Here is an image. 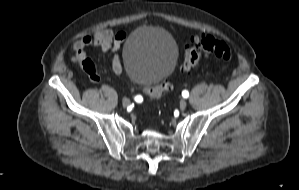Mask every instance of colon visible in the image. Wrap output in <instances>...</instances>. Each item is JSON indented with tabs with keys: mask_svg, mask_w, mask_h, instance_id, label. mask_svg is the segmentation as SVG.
I'll use <instances>...</instances> for the list:
<instances>
[{
	"mask_svg": "<svg viewBox=\"0 0 299 190\" xmlns=\"http://www.w3.org/2000/svg\"><path fill=\"white\" fill-rule=\"evenodd\" d=\"M206 56H213L224 64H229L233 53L226 42L212 35L196 36L184 47V70L188 73L193 71L200 60ZM73 61L81 66L88 75L96 73L94 63L83 50L75 51ZM170 89L171 84L167 80H163L157 85L145 87L143 93L152 100H159Z\"/></svg>",
	"mask_w": 299,
	"mask_h": 190,
	"instance_id": "1",
	"label": "colon"
}]
</instances>
